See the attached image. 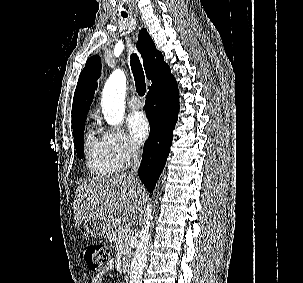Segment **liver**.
Listing matches in <instances>:
<instances>
[{"label": "liver", "mask_w": 303, "mask_h": 283, "mask_svg": "<svg viewBox=\"0 0 303 283\" xmlns=\"http://www.w3.org/2000/svg\"><path fill=\"white\" fill-rule=\"evenodd\" d=\"M145 194L141 182L131 174L93 177L76 190L74 200L75 226L86 220L110 219L123 213L126 217L137 213Z\"/></svg>", "instance_id": "6515ba94"}]
</instances>
